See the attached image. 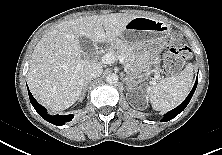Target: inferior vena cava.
<instances>
[{
    "label": "inferior vena cava",
    "mask_w": 222,
    "mask_h": 155,
    "mask_svg": "<svg viewBox=\"0 0 222 155\" xmlns=\"http://www.w3.org/2000/svg\"><path fill=\"white\" fill-rule=\"evenodd\" d=\"M103 72V68L101 65L96 63H91L85 70V78L87 80H91L99 77Z\"/></svg>",
    "instance_id": "1"
}]
</instances>
